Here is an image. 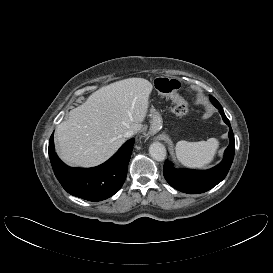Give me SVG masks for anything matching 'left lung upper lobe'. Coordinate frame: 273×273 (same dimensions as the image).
Here are the masks:
<instances>
[{
  "instance_id": "obj_1",
  "label": "left lung upper lobe",
  "mask_w": 273,
  "mask_h": 273,
  "mask_svg": "<svg viewBox=\"0 0 273 273\" xmlns=\"http://www.w3.org/2000/svg\"><path fill=\"white\" fill-rule=\"evenodd\" d=\"M210 100H211V102L213 103L214 106H217V105L220 104V103H219L214 97H212V96H210Z\"/></svg>"
}]
</instances>
